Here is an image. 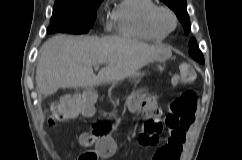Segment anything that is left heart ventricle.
<instances>
[{
  "mask_svg": "<svg viewBox=\"0 0 242 160\" xmlns=\"http://www.w3.org/2000/svg\"><path fill=\"white\" fill-rule=\"evenodd\" d=\"M164 22H165L166 24H169V23H170V21H169V19H168L167 17H164Z\"/></svg>",
  "mask_w": 242,
  "mask_h": 160,
  "instance_id": "obj_1",
  "label": "left heart ventricle"
}]
</instances>
